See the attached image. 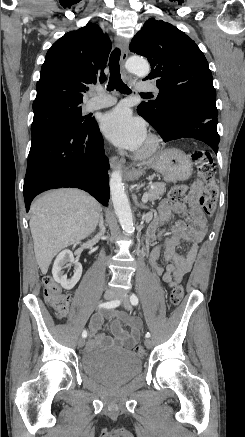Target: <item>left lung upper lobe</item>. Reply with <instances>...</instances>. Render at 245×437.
Instances as JSON below:
<instances>
[{"label":"left lung upper lobe","instance_id":"left-lung-upper-lobe-1","mask_svg":"<svg viewBox=\"0 0 245 437\" xmlns=\"http://www.w3.org/2000/svg\"><path fill=\"white\" fill-rule=\"evenodd\" d=\"M129 49L148 59L151 73L145 79H155L160 90L156 100L138 106V113L159 124L169 106L192 102L218 114L208 62L184 32L151 18L137 32Z\"/></svg>","mask_w":245,"mask_h":437}]
</instances>
